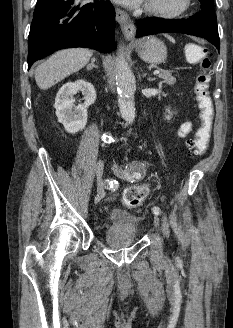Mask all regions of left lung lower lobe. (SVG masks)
Listing matches in <instances>:
<instances>
[{
	"instance_id": "obj_1",
	"label": "left lung lower lobe",
	"mask_w": 233,
	"mask_h": 328,
	"mask_svg": "<svg viewBox=\"0 0 233 328\" xmlns=\"http://www.w3.org/2000/svg\"><path fill=\"white\" fill-rule=\"evenodd\" d=\"M176 32L207 39L218 49L220 47L216 15L202 11L185 20H171L152 17L138 20L137 37L152 33Z\"/></svg>"
}]
</instances>
